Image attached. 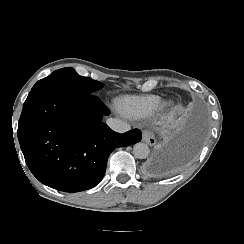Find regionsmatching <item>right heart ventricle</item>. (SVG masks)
<instances>
[{
    "mask_svg": "<svg viewBox=\"0 0 244 244\" xmlns=\"http://www.w3.org/2000/svg\"><path fill=\"white\" fill-rule=\"evenodd\" d=\"M161 99L157 96H127L117 102L118 112L129 119L150 117L158 108Z\"/></svg>",
    "mask_w": 244,
    "mask_h": 244,
    "instance_id": "right-heart-ventricle-1",
    "label": "right heart ventricle"
}]
</instances>
